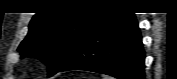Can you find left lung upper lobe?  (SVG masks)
<instances>
[{
    "instance_id": "5c2ea615",
    "label": "left lung upper lobe",
    "mask_w": 177,
    "mask_h": 79,
    "mask_svg": "<svg viewBox=\"0 0 177 79\" xmlns=\"http://www.w3.org/2000/svg\"><path fill=\"white\" fill-rule=\"evenodd\" d=\"M105 14V11L85 13L68 10L37 13L18 51L23 56L41 59L48 65V75L52 76Z\"/></svg>"
}]
</instances>
